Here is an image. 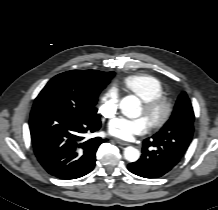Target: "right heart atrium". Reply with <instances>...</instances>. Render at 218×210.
<instances>
[{
  "instance_id": "right-heart-atrium-1",
  "label": "right heart atrium",
  "mask_w": 218,
  "mask_h": 210,
  "mask_svg": "<svg viewBox=\"0 0 218 210\" xmlns=\"http://www.w3.org/2000/svg\"><path fill=\"white\" fill-rule=\"evenodd\" d=\"M119 106V95L116 90L110 89L105 92L101 98L99 112L106 118L113 117Z\"/></svg>"
}]
</instances>
